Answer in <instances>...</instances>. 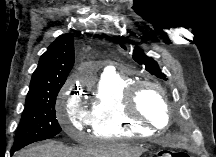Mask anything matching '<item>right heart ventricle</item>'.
Listing matches in <instances>:
<instances>
[{
  "mask_svg": "<svg viewBox=\"0 0 216 157\" xmlns=\"http://www.w3.org/2000/svg\"><path fill=\"white\" fill-rule=\"evenodd\" d=\"M133 82L119 72L104 74L99 78L89 110V125L94 137H132L153 130L129 118L125 112L123 97Z\"/></svg>",
  "mask_w": 216,
  "mask_h": 157,
  "instance_id": "e07e8e85",
  "label": "right heart ventricle"
}]
</instances>
